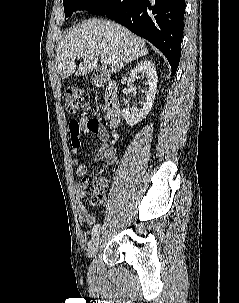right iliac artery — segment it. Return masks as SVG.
Segmentation results:
<instances>
[{
	"instance_id": "right-iliac-artery-1",
	"label": "right iliac artery",
	"mask_w": 239,
	"mask_h": 303,
	"mask_svg": "<svg viewBox=\"0 0 239 303\" xmlns=\"http://www.w3.org/2000/svg\"><path fill=\"white\" fill-rule=\"evenodd\" d=\"M100 227H101L100 224L94 225V227L92 228V231H91V235L95 236L98 233V231L100 230Z\"/></svg>"
}]
</instances>
